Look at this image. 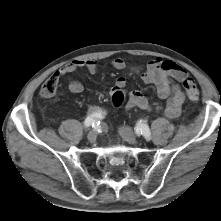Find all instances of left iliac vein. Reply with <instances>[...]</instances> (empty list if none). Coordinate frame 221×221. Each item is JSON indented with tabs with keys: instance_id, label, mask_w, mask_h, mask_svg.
Returning <instances> with one entry per match:
<instances>
[{
	"instance_id": "obj_1",
	"label": "left iliac vein",
	"mask_w": 221,
	"mask_h": 221,
	"mask_svg": "<svg viewBox=\"0 0 221 221\" xmlns=\"http://www.w3.org/2000/svg\"><path fill=\"white\" fill-rule=\"evenodd\" d=\"M119 134L130 144H137L138 140L132 130V128L128 126H123L119 128Z\"/></svg>"
}]
</instances>
